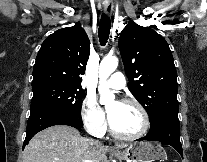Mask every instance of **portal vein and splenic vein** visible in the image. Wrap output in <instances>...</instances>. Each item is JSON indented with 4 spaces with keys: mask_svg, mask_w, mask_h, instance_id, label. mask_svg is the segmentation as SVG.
Segmentation results:
<instances>
[{
    "mask_svg": "<svg viewBox=\"0 0 207 162\" xmlns=\"http://www.w3.org/2000/svg\"><path fill=\"white\" fill-rule=\"evenodd\" d=\"M83 162H92V161H90V160H85V161H83Z\"/></svg>",
    "mask_w": 207,
    "mask_h": 162,
    "instance_id": "1",
    "label": "portal vein and splenic vein"
}]
</instances>
